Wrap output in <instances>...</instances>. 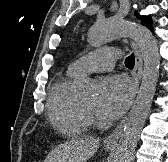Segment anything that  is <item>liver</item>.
Here are the masks:
<instances>
[{"label": "liver", "mask_w": 168, "mask_h": 162, "mask_svg": "<svg viewBox=\"0 0 168 162\" xmlns=\"http://www.w3.org/2000/svg\"><path fill=\"white\" fill-rule=\"evenodd\" d=\"M98 138L81 137L56 146L44 162H86L99 149Z\"/></svg>", "instance_id": "liver-1"}]
</instances>
